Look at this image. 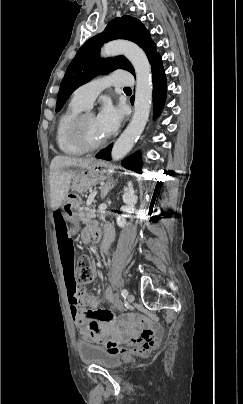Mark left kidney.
Listing matches in <instances>:
<instances>
[{"mask_svg": "<svg viewBox=\"0 0 243 404\" xmlns=\"http://www.w3.org/2000/svg\"><path fill=\"white\" fill-rule=\"evenodd\" d=\"M137 196H135V190H133L132 182H128V188H124L123 202L126 206H122L121 210L124 212L122 216L116 218V224L119 228H125L129 226L125 218H130V214H133L135 210V204H137Z\"/></svg>", "mask_w": 243, "mask_h": 404, "instance_id": "left-kidney-1", "label": "left kidney"}]
</instances>
